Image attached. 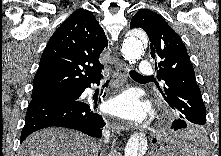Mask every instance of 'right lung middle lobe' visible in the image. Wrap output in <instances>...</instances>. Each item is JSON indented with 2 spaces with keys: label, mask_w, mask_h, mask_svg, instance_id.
<instances>
[{
  "label": "right lung middle lobe",
  "mask_w": 221,
  "mask_h": 156,
  "mask_svg": "<svg viewBox=\"0 0 221 156\" xmlns=\"http://www.w3.org/2000/svg\"><path fill=\"white\" fill-rule=\"evenodd\" d=\"M77 96V92H73V93H68V94H62V95H58V96H54V97H50V98H46V99H73Z\"/></svg>",
  "instance_id": "1"
}]
</instances>
